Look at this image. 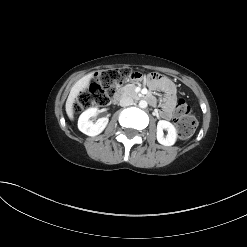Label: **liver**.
I'll return each instance as SVG.
<instances>
[{"instance_id": "6515ba94", "label": "liver", "mask_w": 247, "mask_h": 247, "mask_svg": "<svg viewBox=\"0 0 247 247\" xmlns=\"http://www.w3.org/2000/svg\"><path fill=\"white\" fill-rule=\"evenodd\" d=\"M92 77H93V73H89V74L85 75L84 77L79 79L71 88V91L69 93V96L67 98L66 105H65L66 113H67L69 119L73 120V118H74V116H73V104H74L76 98L78 97L79 93L88 87Z\"/></svg>"}]
</instances>
